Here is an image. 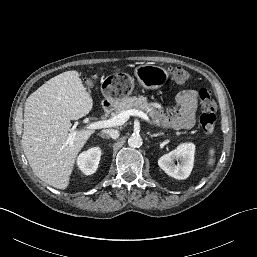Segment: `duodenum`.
Returning <instances> with one entry per match:
<instances>
[{
    "label": "duodenum",
    "instance_id": "410a0bca",
    "mask_svg": "<svg viewBox=\"0 0 257 257\" xmlns=\"http://www.w3.org/2000/svg\"><path fill=\"white\" fill-rule=\"evenodd\" d=\"M112 109V104L111 103H105L103 106V112L105 114H108Z\"/></svg>",
    "mask_w": 257,
    "mask_h": 257
}]
</instances>
